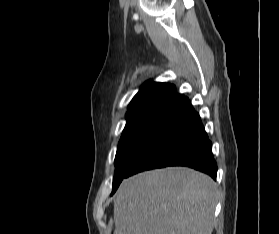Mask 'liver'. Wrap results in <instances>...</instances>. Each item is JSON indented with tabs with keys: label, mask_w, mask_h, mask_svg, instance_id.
<instances>
[{
	"label": "liver",
	"mask_w": 279,
	"mask_h": 234,
	"mask_svg": "<svg viewBox=\"0 0 279 234\" xmlns=\"http://www.w3.org/2000/svg\"><path fill=\"white\" fill-rule=\"evenodd\" d=\"M216 184L184 167L124 180L114 200L115 234H212Z\"/></svg>",
	"instance_id": "6515ba94"
}]
</instances>
